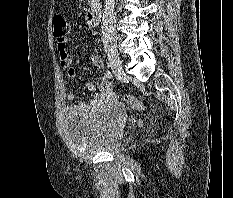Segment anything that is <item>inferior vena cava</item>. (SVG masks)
<instances>
[{
	"mask_svg": "<svg viewBox=\"0 0 233 198\" xmlns=\"http://www.w3.org/2000/svg\"><path fill=\"white\" fill-rule=\"evenodd\" d=\"M116 17L114 13V0H104L102 12V40L106 52L116 51Z\"/></svg>",
	"mask_w": 233,
	"mask_h": 198,
	"instance_id": "inferior-vena-cava-1",
	"label": "inferior vena cava"
}]
</instances>
